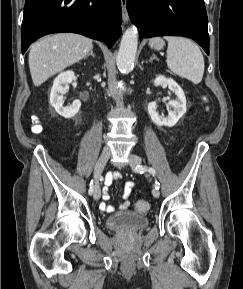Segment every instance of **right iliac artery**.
Masks as SVG:
<instances>
[{
  "mask_svg": "<svg viewBox=\"0 0 243 289\" xmlns=\"http://www.w3.org/2000/svg\"><path fill=\"white\" fill-rule=\"evenodd\" d=\"M93 189H94V183H93V180H91V182H90V188H89V194H90V195L93 193Z\"/></svg>",
  "mask_w": 243,
  "mask_h": 289,
  "instance_id": "obj_1",
  "label": "right iliac artery"
}]
</instances>
